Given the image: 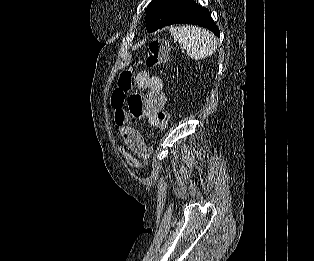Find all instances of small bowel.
<instances>
[{"label": "small bowel", "instance_id": "small-bowel-1", "mask_svg": "<svg viewBox=\"0 0 314 261\" xmlns=\"http://www.w3.org/2000/svg\"><path fill=\"white\" fill-rule=\"evenodd\" d=\"M136 88L144 91V94H134L128 100V107H124V101H115L112 97V106L115 109L114 121L119 133L131 155L121 150L124 161L132 168H141L148 163L152 154L149 146L140 131L133 125V119L146 120L151 126L159 124L158 113L165 106L166 98L163 93V81L160 77L151 75L142 70L136 76Z\"/></svg>", "mask_w": 314, "mask_h": 261}]
</instances>
